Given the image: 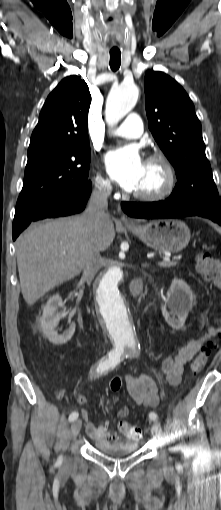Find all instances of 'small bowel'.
<instances>
[{"label": "small bowel", "instance_id": "1", "mask_svg": "<svg viewBox=\"0 0 221 510\" xmlns=\"http://www.w3.org/2000/svg\"><path fill=\"white\" fill-rule=\"evenodd\" d=\"M216 333L214 326L210 327L200 338L188 342L181 347L174 356L166 357L162 362V371L166 381L171 386H178L181 382L185 365L200 351L204 343ZM125 388L131 398L140 405L155 407L159 403V388L156 381L147 374L127 375ZM76 400L80 404H87L85 396L78 395ZM82 417L86 421V432L95 442H113L119 439L118 434L111 433L110 422L105 421L95 425L88 409L82 410ZM126 422H119V432L126 438H132Z\"/></svg>", "mask_w": 221, "mask_h": 510}]
</instances>
